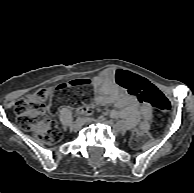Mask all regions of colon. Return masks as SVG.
<instances>
[{"label":"colon","instance_id":"1","mask_svg":"<svg viewBox=\"0 0 194 193\" xmlns=\"http://www.w3.org/2000/svg\"><path fill=\"white\" fill-rule=\"evenodd\" d=\"M116 79L120 85L136 96L142 105L150 104L161 113L170 111V103L166 97L147 81L136 78L125 71L117 72ZM89 85V79H78L55 87L42 88L27 95L16 102L14 106L18 125L23 130L35 132L37 137L45 143L59 142L62 133L47 114L49 101L66 87L84 91ZM144 137V133H139L137 139Z\"/></svg>","mask_w":194,"mask_h":193}]
</instances>
